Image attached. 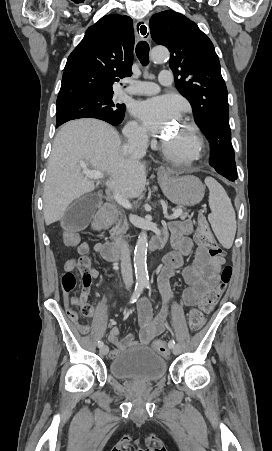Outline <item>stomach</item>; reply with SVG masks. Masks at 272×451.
I'll use <instances>...</instances> for the list:
<instances>
[{
  "label": "stomach",
  "mask_w": 272,
  "mask_h": 451,
  "mask_svg": "<svg viewBox=\"0 0 272 451\" xmlns=\"http://www.w3.org/2000/svg\"><path fill=\"white\" fill-rule=\"evenodd\" d=\"M160 184L166 198L178 206H196L204 198L205 188L196 176H172L163 178L158 174Z\"/></svg>",
  "instance_id": "1"
}]
</instances>
